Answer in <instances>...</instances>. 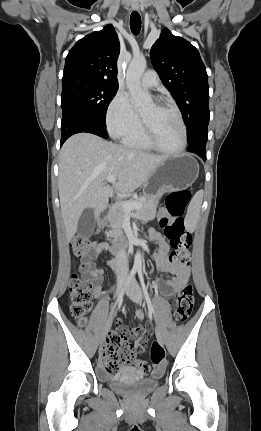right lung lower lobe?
Wrapping results in <instances>:
<instances>
[{"label":"right lung lower lobe","mask_w":261,"mask_h":431,"mask_svg":"<svg viewBox=\"0 0 261 431\" xmlns=\"http://www.w3.org/2000/svg\"><path fill=\"white\" fill-rule=\"evenodd\" d=\"M80 132H88L107 138L106 128L91 123L69 111H64L61 123V146L71 135Z\"/></svg>","instance_id":"right-lung-lower-lobe-1"}]
</instances>
